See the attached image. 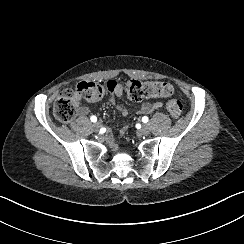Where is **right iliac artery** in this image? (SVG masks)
I'll return each mask as SVG.
<instances>
[{
    "mask_svg": "<svg viewBox=\"0 0 244 244\" xmlns=\"http://www.w3.org/2000/svg\"><path fill=\"white\" fill-rule=\"evenodd\" d=\"M90 119H91L92 122H96L97 121V117L96 116H91Z\"/></svg>",
    "mask_w": 244,
    "mask_h": 244,
    "instance_id": "obj_1",
    "label": "right iliac artery"
}]
</instances>
